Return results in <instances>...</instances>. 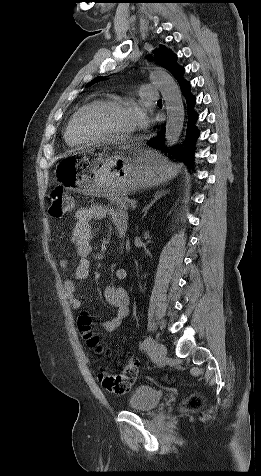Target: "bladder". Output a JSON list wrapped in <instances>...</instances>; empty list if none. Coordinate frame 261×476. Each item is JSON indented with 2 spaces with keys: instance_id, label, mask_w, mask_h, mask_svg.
I'll return each mask as SVG.
<instances>
[{
  "instance_id": "bladder-1",
  "label": "bladder",
  "mask_w": 261,
  "mask_h": 476,
  "mask_svg": "<svg viewBox=\"0 0 261 476\" xmlns=\"http://www.w3.org/2000/svg\"><path fill=\"white\" fill-rule=\"evenodd\" d=\"M162 399V393L152 387L141 385L133 390L128 398L129 409L136 412H150Z\"/></svg>"
}]
</instances>
